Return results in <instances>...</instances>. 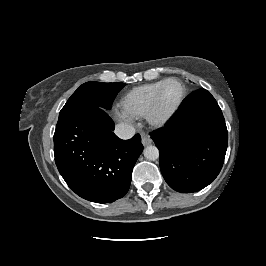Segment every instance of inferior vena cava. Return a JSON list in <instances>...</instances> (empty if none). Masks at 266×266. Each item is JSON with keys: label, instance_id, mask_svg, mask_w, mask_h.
Segmentation results:
<instances>
[{"label": "inferior vena cava", "instance_id": "1", "mask_svg": "<svg viewBox=\"0 0 266 266\" xmlns=\"http://www.w3.org/2000/svg\"><path fill=\"white\" fill-rule=\"evenodd\" d=\"M114 133L121 139L127 140L135 135V129L127 123H119L116 125Z\"/></svg>", "mask_w": 266, "mask_h": 266}]
</instances>
